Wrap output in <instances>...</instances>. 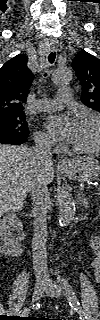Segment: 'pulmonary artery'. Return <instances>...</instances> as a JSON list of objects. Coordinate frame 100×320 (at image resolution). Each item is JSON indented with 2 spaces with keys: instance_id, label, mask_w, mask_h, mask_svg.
I'll list each match as a JSON object with an SVG mask.
<instances>
[{
  "instance_id": "e3ab8cb5",
  "label": "pulmonary artery",
  "mask_w": 100,
  "mask_h": 320,
  "mask_svg": "<svg viewBox=\"0 0 100 320\" xmlns=\"http://www.w3.org/2000/svg\"><path fill=\"white\" fill-rule=\"evenodd\" d=\"M58 100L41 99L36 103V109L39 111H53L59 109L62 103H71L72 95L69 87H61L58 91Z\"/></svg>"
}]
</instances>
